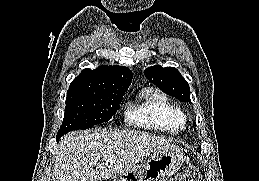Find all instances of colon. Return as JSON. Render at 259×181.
<instances>
[{
    "label": "colon",
    "instance_id": "5ec220e1",
    "mask_svg": "<svg viewBox=\"0 0 259 181\" xmlns=\"http://www.w3.org/2000/svg\"><path fill=\"white\" fill-rule=\"evenodd\" d=\"M173 181H201L200 168L197 165H191L178 174Z\"/></svg>",
    "mask_w": 259,
    "mask_h": 181
}]
</instances>
